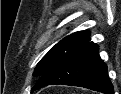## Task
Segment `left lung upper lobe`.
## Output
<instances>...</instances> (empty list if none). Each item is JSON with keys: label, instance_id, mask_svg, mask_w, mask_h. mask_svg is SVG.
<instances>
[{"label": "left lung upper lobe", "instance_id": "left-lung-upper-lobe-1", "mask_svg": "<svg viewBox=\"0 0 121 94\" xmlns=\"http://www.w3.org/2000/svg\"><path fill=\"white\" fill-rule=\"evenodd\" d=\"M89 41V31H78L66 36L56 45H54L50 51L40 60L35 68L33 76L43 75L58 61L71 54L73 51L79 49L83 45L87 44Z\"/></svg>", "mask_w": 121, "mask_h": 94}]
</instances>
